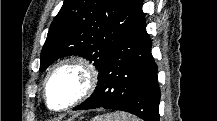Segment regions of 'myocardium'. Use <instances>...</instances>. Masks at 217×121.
<instances>
[{
    "label": "myocardium",
    "mask_w": 217,
    "mask_h": 121,
    "mask_svg": "<svg viewBox=\"0 0 217 121\" xmlns=\"http://www.w3.org/2000/svg\"><path fill=\"white\" fill-rule=\"evenodd\" d=\"M73 68L80 70L85 77V84L82 91L67 105L61 108H54L50 103L49 85L53 77L61 70ZM99 83V74L96 66L90 60L73 56L58 62L47 74L44 80L43 97L48 108L55 112L67 111L86 100L95 91Z\"/></svg>",
    "instance_id": "obj_1"
}]
</instances>
